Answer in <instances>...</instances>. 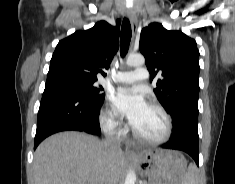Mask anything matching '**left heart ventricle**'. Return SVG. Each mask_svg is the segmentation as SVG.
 Instances as JSON below:
<instances>
[{"label":"left heart ventricle","instance_id":"left-heart-ventricle-1","mask_svg":"<svg viewBox=\"0 0 235 184\" xmlns=\"http://www.w3.org/2000/svg\"><path fill=\"white\" fill-rule=\"evenodd\" d=\"M134 129L143 137L158 138L163 136L166 131V121L159 111L148 107Z\"/></svg>","mask_w":235,"mask_h":184}]
</instances>
